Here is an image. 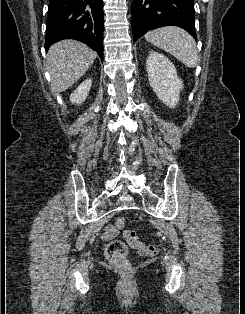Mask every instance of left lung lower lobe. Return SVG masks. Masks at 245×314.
<instances>
[{
    "mask_svg": "<svg viewBox=\"0 0 245 314\" xmlns=\"http://www.w3.org/2000/svg\"><path fill=\"white\" fill-rule=\"evenodd\" d=\"M131 23L134 41L151 29L170 25L185 29L197 39L193 0H135Z\"/></svg>",
    "mask_w": 245,
    "mask_h": 314,
    "instance_id": "0a47b994",
    "label": "left lung lower lobe"
}]
</instances>
